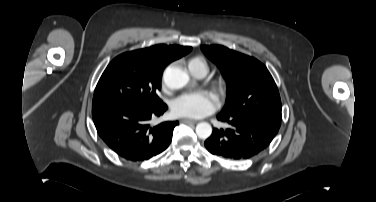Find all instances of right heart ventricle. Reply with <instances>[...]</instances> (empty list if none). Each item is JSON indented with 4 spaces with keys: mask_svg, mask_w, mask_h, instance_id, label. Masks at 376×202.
Masks as SVG:
<instances>
[{
    "mask_svg": "<svg viewBox=\"0 0 376 202\" xmlns=\"http://www.w3.org/2000/svg\"><path fill=\"white\" fill-rule=\"evenodd\" d=\"M189 70L195 75L200 71H208V66L204 58L194 57L188 62Z\"/></svg>",
    "mask_w": 376,
    "mask_h": 202,
    "instance_id": "obj_1",
    "label": "right heart ventricle"
}]
</instances>
